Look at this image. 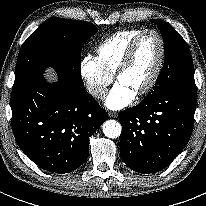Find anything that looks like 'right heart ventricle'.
<instances>
[{
  "mask_svg": "<svg viewBox=\"0 0 206 206\" xmlns=\"http://www.w3.org/2000/svg\"><path fill=\"white\" fill-rule=\"evenodd\" d=\"M143 29L130 28L115 32L105 39L97 48V60L104 70L114 75L132 40Z\"/></svg>",
  "mask_w": 206,
  "mask_h": 206,
  "instance_id": "1",
  "label": "right heart ventricle"
}]
</instances>
